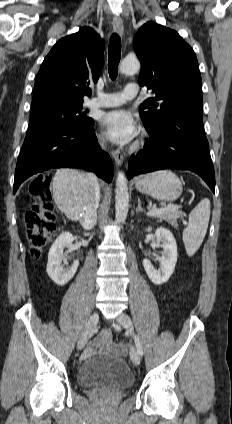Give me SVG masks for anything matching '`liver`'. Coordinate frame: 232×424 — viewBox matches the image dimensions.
I'll use <instances>...</instances> for the list:
<instances>
[{"label": "liver", "mask_w": 232, "mask_h": 424, "mask_svg": "<svg viewBox=\"0 0 232 424\" xmlns=\"http://www.w3.org/2000/svg\"><path fill=\"white\" fill-rule=\"evenodd\" d=\"M52 187L53 199L59 210L70 220H79L92 188L89 174L63 168L54 176Z\"/></svg>", "instance_id": "liver-1"}]
</instances>
